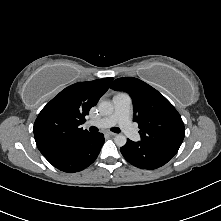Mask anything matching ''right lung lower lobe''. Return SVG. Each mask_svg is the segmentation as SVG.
Listing matches in <instances>:
<instances>
[{
    "instance_id": "98d812e1",
    "label": "right lung lower lobe",
    "mask_w": 221,
    "mask_h": 221,
    "mask_svg": "<svg viewBox=\"0 0 221 221\" xmlns=\"http://www.w3.org/2000/svg\"><path fill=\"white\" fill-rule=\"evenodd\" d=\"M104 143L102 133L81 136L63 145L58 153L48 161L57 169L74 173L92 164Z\"/></svg>"
}]
</instances>
